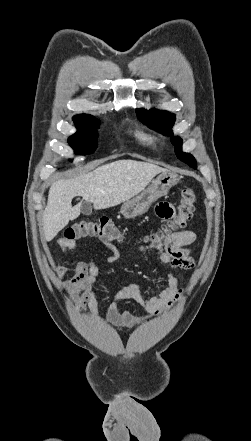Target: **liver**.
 I'll return each instance as SVG.
<instances>
[{
	"mask_svg": "<svg viewBox=\"0 0 251 441\" xmlns=\"http://www.w3.org/2000/svg\"><path fill=\"white\" fill-rule=\"evenodd\" d=\"M167 171L158 165L130 159L117 160L73 179L52 184L43 213V230L51 241L70 220L80 215V204L72 207V199L81 196L96 210L117 206L140 192L159 173Z\"/></svg>",
	"mask_w": 251,
	"mask_h": 441,
	"instance_id": "1",
	"label": "liver"
}]
</instances>
